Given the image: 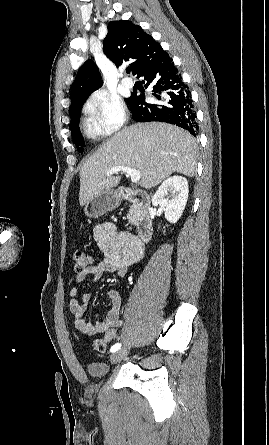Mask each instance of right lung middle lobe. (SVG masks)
Instances as JSON below:
<instances>
[{"mask_svg": "<svg viewBox=\"0 0 269 445\" xmlns=\"http://www.w3.org/2000/svg\"><path fill=\"white\" fill-rule=\"evenodd\" d=\"M130 99H131V96L126 99L128 104L130 103ZM83 103L84 102H81L79 104H76L72 108H70V117H71L70 127H71L72 138L80 152L83 151V146L85 145L84 139H83L80 129H79V122H78L80 110H81Z\"/></svg>", "mask_w": 269, "mask_h": 445, "instance_id": "obj_1", "label": "right lung middle lobe"}]
</instances>
